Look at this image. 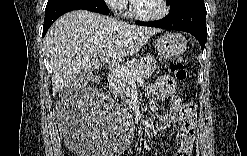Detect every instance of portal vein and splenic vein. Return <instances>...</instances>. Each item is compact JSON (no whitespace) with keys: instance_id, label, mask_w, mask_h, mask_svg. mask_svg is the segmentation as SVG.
Here are the masks:
<instances>
[{"instance_id":"18ae733b","label":"portal vein and splenic vein","mask_w":247,"mask_h":156,"mask_svg":"<svg viewBox=\"0 0 247 156\" xmlns=\"http://www.w3.org/2000/svg\"><path fill=\"white\" fill-rule=\"evenodd\" d=\"M102 59L101 61H103ZM109 68L114 73H119L121 75L128 76L131 80L138 79L139 72L138 71H132L130 68L123 66V65H117L114 63H109Z\"/></svg>"}]
</instances>
